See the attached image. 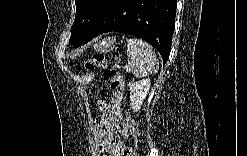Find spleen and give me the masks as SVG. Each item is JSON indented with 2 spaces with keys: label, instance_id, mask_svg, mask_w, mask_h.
Returning a JSON list of instances; mask_svg holds the SVG:
<instances>
[{
  "label": "spleen",
  "instance_id": "obj_1",
  "mask_svg": "<svg viewBox=\"0 0 247 156\" xmlns=\"http://www.w3.org/2000/svg\"><path fill=\"white\" fill-rule=\"evenodd\" d=\"M128 66L135 77L147 76L159 68V59L146 41L133 38L127 43Z\"/></svg>",
  "mask_w": 247,
  "mask_h": 156
}]
</instances>
